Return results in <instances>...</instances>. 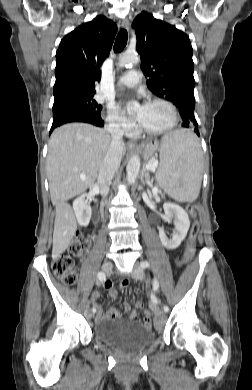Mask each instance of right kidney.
<instances>
[{"label":"right kidney","instance_id":"ca27d5eb","mask_svg":"<svg viewBox=\"0 0 252 390\" xmlns=\"http://www.w3.org/2000/svg\"><path fill=\"white\" fill-rule=\"evenodd\" d=\"M73 210L80 226L86 227L91 219V206L85 201V194L76 198L73 202Z\"/></svg>","mask_w":252,"mask_h":390}]
</instances>
